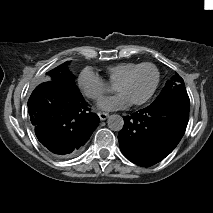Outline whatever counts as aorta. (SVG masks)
Masks as SVG:
<instances>
[{"instance_id":"1","label":"aorta","mask_w":213,"mask_h":213,"mask_svg":"<svg viewBox=\"0 0 213 213\" xmlns=\"http://www.w3.org/2000/svg\"><path fill=\"white\" fill-rule=\"evenodd\" d=\"M107 125L112 131H121L124 126L123 117L118 114H112L107 119Z\"/></svg>"}]
</instances>
